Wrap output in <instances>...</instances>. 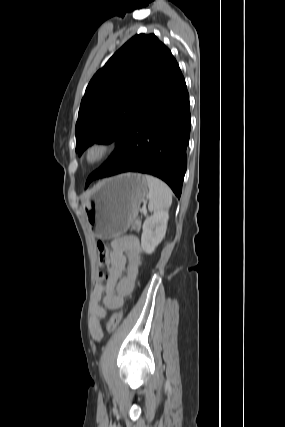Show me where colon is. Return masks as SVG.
Masks as SVG:
<instances>
[{"label":"colon","instance_id":"obj_1","mask_svg":"<svg viewBox=\"0 0 285 427\" xmlns=\"http://www.w3.org/2000/svg\"><path fill=\"white\" fill-rule=\"evenodd\" d=\"M98 248V264L96 267V284L97 286L103 285L109 276L110 267L108 259V246L106 243L99 241L97 244ZM123 316L122 311L115 312L107 323V330L113 331L121 321Z\"/></svg>","mask_w":285,"mask_h":427}]
</instances>
